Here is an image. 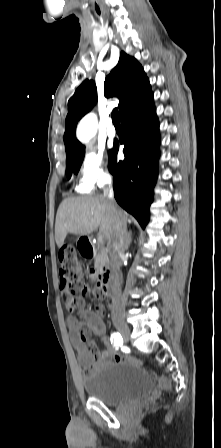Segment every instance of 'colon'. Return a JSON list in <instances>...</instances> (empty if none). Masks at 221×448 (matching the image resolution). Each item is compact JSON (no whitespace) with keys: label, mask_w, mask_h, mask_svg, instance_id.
<instances>
[{"label":"colon","mask_w":221,"mask_h":448,"mask_svg":"<svg viewBox=\"0 0 221 448\" xmlns=\"http://www.w3.org/2000/svg\"><path fill=\"white\" fill-rule=\"evenodd\" d=\"M59 277L60 288L63 292L70 295L82 294L83 289V269L79 259L76 256V251L72 246H65L59 253ZM123 362L139 365L141 361L136 358L123 357ZM161 383L164 388H170V382L167 378H161Z\"/></svg>","instance_id":"obj_1"}]
</instances>
